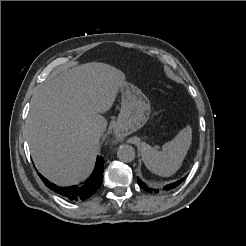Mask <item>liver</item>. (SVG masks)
<instances>
[{"label": "liver", "mask_w": 246, "mask_h": 246, "mask_svg": "<svg viewBox=\"0 0 246 246\" xmlns=\"http://www.w3.org/2000/svg\"><path fill=\"white\" fill-rule=\"evenodd\" d=\"M120 70L87 63L49 79L34 93L25 125L27 141L38 170L58 185L82 181L91 171L108 111L126 84Z\"/></svg>", "instance_id": "6515ba94"}]
</instances>
